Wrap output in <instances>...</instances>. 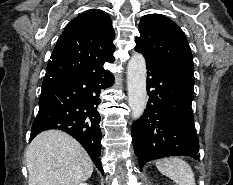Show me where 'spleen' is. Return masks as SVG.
Masks as SVG:
<instances>
[{
	"mask_svg": "<svg viewBox=\"0 0 233 185\" xmlns=\"http://www.w3.org/2000/svg\"><path fill=\"white\" fill-rule=\"evenodd\" d=\"M158 170L178 185H195L190 165L178 157L164 158L156 162Z\"/></svg>",
	"mask_w": 233,
	"mask_h": 185,
	"instance_id": "1",
	"label": "spleen"
}]
</instances>
